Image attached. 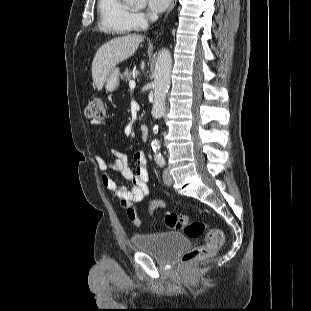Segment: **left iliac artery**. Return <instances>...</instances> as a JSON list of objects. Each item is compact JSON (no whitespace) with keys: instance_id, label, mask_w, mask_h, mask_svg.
<instances>
[{"instance_id":"obj_1","label":"left iliac artery","mask_w":311,"mask_h":311,"mask_svg":"<svg viewBox=\"0 0 311 311\" xmlns=\"http://www.w3.org/2000/svg\"><path fill=\"white\" fill-rule=\"evenodd\" d=\"M156 162L161 166L163 167L165 165V160L163 157H157L156 158Z\"/></svg>"}]
</instances>
